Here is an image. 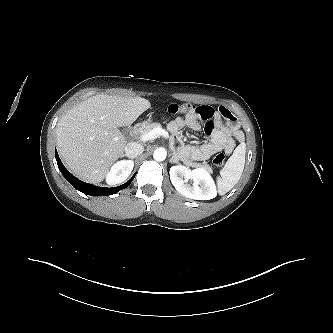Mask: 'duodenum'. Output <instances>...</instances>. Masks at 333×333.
Listing matches in <instances>:
<instances>
[{"instance_id": "duodenum-1", "label": "duodenum", "mask_w": 333, "mask_h": 333, "mask_svg": "<svg viewBox=\"0 0 333 333\" xmlns=\"http://www.w3.org/2000/svg\"><path fill=\"white\" fill-rule=\"evenodd\" d=\"M145 127V123L144 122H139L134 126V132L136 134L140 133Z\"/></svg>"}]
</instances>
